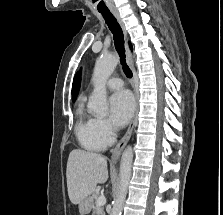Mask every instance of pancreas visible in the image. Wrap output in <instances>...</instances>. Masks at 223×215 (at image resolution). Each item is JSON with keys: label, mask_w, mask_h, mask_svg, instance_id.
<instances>
[{"label": "pancreas", "mask_w": 223, "mask_h": 215, "mask_svg": "<svg viewBox=\"0 0 223 215\" xmlns=\"http://www.w3.org/2000/svg\"><path fill=\"white\" fill-rule=\"evenodd\" d=\"M89 199H92V202H94L92 215H105L104 207H102V205H100V207H97L96 205V201L98 199L97 191H93L92 195H89Z\"/></svg>", "instance_id": "cf45deb5"}]
</instances>
